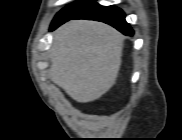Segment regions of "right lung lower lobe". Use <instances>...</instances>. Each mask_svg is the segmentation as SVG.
I'll return each mask as SVG.
<instances>
[{"mask_svg":"<svg viewBox=\"0 0 182 140\" xmlns=\"http://www.w3.org/2000/svg\"><path fill=\"white\" fill-rule=\"evenodd\" d=\"M70 19L101 21L113 26L125 35L132 36L134 33L129 24L125 21V14L120 8L114 6H101L97 3L89 5L82 11L62 22L51 25L50 30L56 29L58 26Z\"/></svg>","mask_w":182,"mask_h":140,"instance_id":"obj_1","label":"right lung lower lobe"}]
</instances>
